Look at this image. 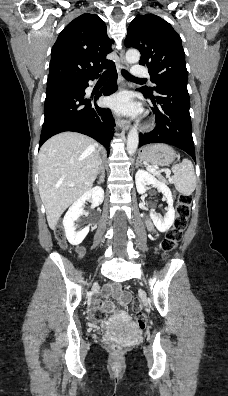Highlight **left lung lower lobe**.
<instances>
[{"label": "left lung lower lobe", "instance_id": "0a47b994", "mask_svg": "<svg viewBox=\"0 0 228 396\" xmlns=\"http://www.w3.org/2000/svg\"><path fill=\"white\" fill-rule=\"evenodd\" d=\"M138 90L151 99L152 111L156 117L155 129L145 135H139L140 147L150 143L170 144L187 152L195 161L187 85H162L155 94Z\"/></svg>", "mask_w": 228, "mask_h": 396}]
</instances>
